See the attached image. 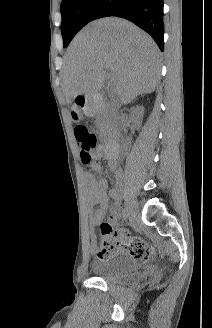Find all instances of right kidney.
I'll return each mask as SVG.
<instances>
[{
	"label": "right kidney",
	"instance_id": "right-kidney-1",
	"mask_svg": "<svg viewBox=\"0 0 212 328\" xmlns=\"http://www.w3.org/2000/svg\"><path fill=\"white\" fill-rule=\"evenodd\" d=\"M144 114V107L143 106H137L136 108L133 109L131 112V121L135 124L137 128L140 127L142 117Z\"/></svg>",
	"mask_w": 212,
	"mask_h": 328
}]
</instances>
